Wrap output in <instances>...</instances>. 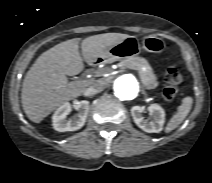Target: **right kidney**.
I'll list each match as a JSON object with an SVG mask.
<instances>
[{"label": "right kidney", "instance_id": "right-kidney-1", "mask_svg": "<svg viewBox=\"0 0 212 183\" xmlns=\"http://www.w3.org/2000/svg\"><path fill=\"white\" fill-rule=\"evenodd\" d=\"M73 108L78 111V114L72 118L67 119V115L71 112L72 106L66 102L61 105L53 114L52 122L53 128L58 132L76 131L82 128L85 124L88 110L89 101L82 100L73 105Z\"/></svg>", "mask_w": 212, "mask_h": 183}]
</instances>
